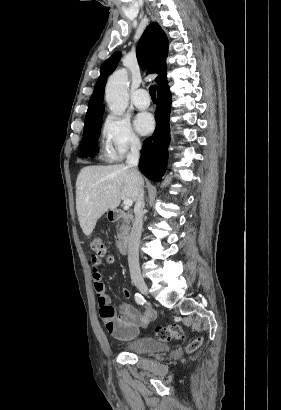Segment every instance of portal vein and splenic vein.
<instances>
[{"label": "portal vein and splenic vein", "instance_id": "portal-vein-and-splenic-vein-1", "mask_svg": "<svg viewBox=\"0 0 281 410\" xmlns=\"http://www.w3.org/2000/svg\"><path fill=\"white\" fill-rule=\"evenodd\" d=\"M123 204H124V209H129V208L132 206L133 201L130 200V199H125V200L123 201Z\"/></svg>", "mask_w": 281, "mask_h": 410}]
</instances>
